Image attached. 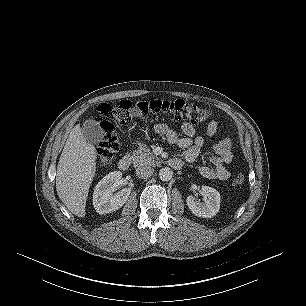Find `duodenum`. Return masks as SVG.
Masks as SVG:
<instances>
[{
  "label": "duodenum",
  "mask_w": 306,
  "mask_h": 306,
  "mask_svg": "<svg viewBox=\"0 0 306 306\" xmlns=\"http://www.w3.org/2000/svg\"><path fill=\"white\" fill-rule=\"evenodd\" d=\"M169 164L171 167L175 168V169H180L182 167V164L180 161L175 160V159H171L169 161ZM130 166V158L127 155H124L120 158V160L118 161V168L122 171H126L128 170Z\"/></svg>",
  "instance_id": "obj_1"
}]
</instances>
